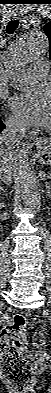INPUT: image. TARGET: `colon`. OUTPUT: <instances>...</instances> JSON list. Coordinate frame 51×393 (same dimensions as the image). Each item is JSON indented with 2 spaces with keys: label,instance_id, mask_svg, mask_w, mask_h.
I'll return each mask as SVG.
<instances>
[{
  "label": "colon",
  "instance_id": "obj_1",
  "mask_svg": "<svg viewBox=\"0 0 51 393\" xmlns=\"http://www.w3.org/2000/svg\"><path fill=\"white\" fill-rule=\"evenodd\" d=\"M33 345H45V336L37 332ZM26 320L23 315H14L1 331L2 375L15 393H27L36 372V362L26 347Z\"/></svg>",
  "mask_w": 51,
  "mask_h": 393
}]
</instances>
